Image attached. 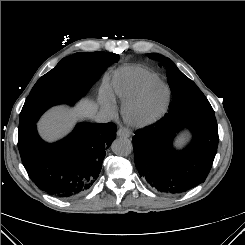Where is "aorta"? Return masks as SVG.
<instances>
[{
	"instance_id": "1",
	"label": "aorta",
	"mask_w": 245,
	"mask_h": 245,
	"mask_svg": "<svg viewBox=\"0 0 245 245\" xmlns=\"http://www.w3.org/2000/svg\"><path fill=\"white\" fill-rule=\"evenodd\" d=\"M111 149L114 154L119 156H128L132 150L133 146L129 139L127 138H118L114 140L111 145Z\"/></svg>"
}]
</instances>
